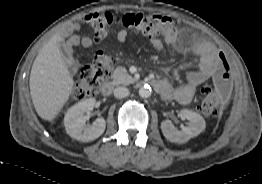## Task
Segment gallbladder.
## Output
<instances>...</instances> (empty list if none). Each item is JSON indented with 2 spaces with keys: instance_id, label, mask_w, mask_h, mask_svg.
<instances>
[{
  "instance_id": "1",
  "label": "gallbladder",
  "mask_w": 262,
  "mask_h": 184,
  "mask_svg": "<svg viewBox=\"0 0 262 184\" xmlns=\"http://www.w3.org/2000/svg\"><path fill=\"white\" fill-rule=\"evenodd\" d=\"M63 51H64V58H65L67 64L69 66H72L73 63H74V59H73V56H72L71 52L68 51L66 46L64 47Z\"/></svg>"
}]
</instances>
